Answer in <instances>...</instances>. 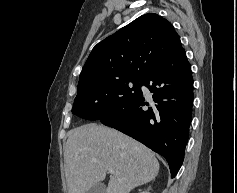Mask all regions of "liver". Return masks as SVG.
I'll list each match as a JSON object with an SVG mask.
<instances>
[{
    "instance_id": "1",
    "label": "liver",
    "mask_w": 237,
    "mask_h": 193,
    "mask_svg": "<svg viewBox=\"0 0 237 193\" xmlns=\"http://www.w3.org/2000/svg\"><path fill=\"white\" fill-rule=\"evenodd\" d=\"M65 176L68 193H86L114 169L106 193H129L151 182L159 172L154 153L129 136L89 123L73 129L67 139Z\"/></svg>"
}]
</instances>
